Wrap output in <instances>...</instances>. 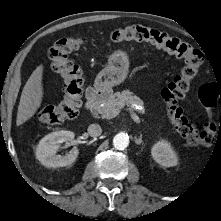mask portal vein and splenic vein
I'll use <instances>...</instances> for the list:
<instances>
[{
	"label": "portal vein and splenic vein",
	"instance_id": "portal-vein-and-splenic-vein-1",
	"mask_svg": "<svg viewBox=\"0 0 221 221\" xmlns=\"http://www.w3.org/2000/svg\"><path fill=\"white\" fill-rule=\"evenodd\" d=\"M127 110L129 111L131 118L136 123H140V119L136 115V113L130 108H128ZM119 113H120L119 109H112V110H107V111H105L104 113H101V114H102L103 118L112 119V118H115Z\"/></svg>",
	"mask_w": 221,
	"mask_h": 221
}]
</instances>
